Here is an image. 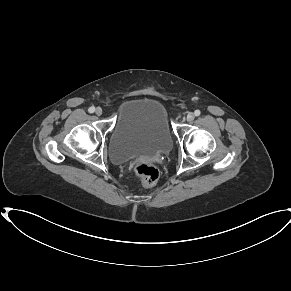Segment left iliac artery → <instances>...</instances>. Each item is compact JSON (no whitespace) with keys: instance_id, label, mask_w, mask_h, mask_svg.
<instances>
[{"instance_id":"obj_1","label":"left iliac artery","mask_w":291,"mask_h":291,"mask_svg":"<svg viewBox=\"0 0 291 291\" xmlns=\"http://www.w3.org/2000/svg\"><path fill=\"white\" fill-rule=\"evenodd\" d=\"M195 116H199L201 114L200 110H195L194 112Z\"/></svg>"}]
</instances>
